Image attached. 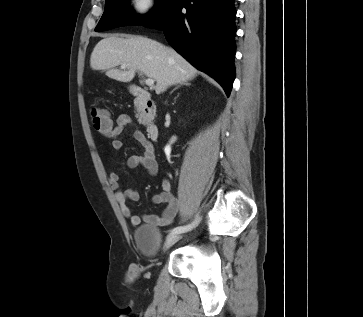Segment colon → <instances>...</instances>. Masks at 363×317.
Segmentation results:
<instances>
[{
  "label": "colon",
  "mask_w": 363,
  "mask_h": 317,
  "mask_svg": "<svg viewBox=\"0 0 363 317\" xmlns=\"http://www.w3.org/2000/svg\"><path fill=\"white\" fill-rule=\"evenodd\" d=\"M91 122L94 129L103 133L110 129L111 121L104 109L93 107L91 109Z\"/></svg>",
  "instance_id": "5ec220e1"
}]
</instances>
